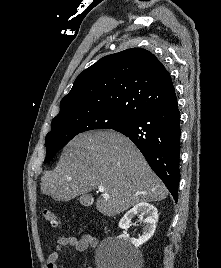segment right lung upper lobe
<instances>
[{"mask_svg":"<svg viewBox=\"0 0 221 268\" xmlns=\"http://www.w3.org/2000/svg\"><path fill=\"white\" fill-rule=\"evenodd\" d=\"M177 100L170 74L151 52L131 48L81 72L61 100V114L110 110L130 118Z\"/></svg>","mask_w":221,"mask_h":268,"instance_id":"cb5924a9","label":"right lung upper lobe"}]
</instances>
